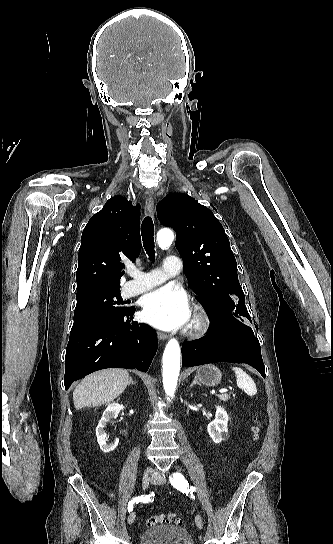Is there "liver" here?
I'll return each instance as SVG.
<instances>
[{"label":"liver","instance_id":"6515ba94","mask_svg":"<svg viewBox=\"0 0 333 544\" xmlns=\"http://www.w3.org/2000/svg\"><path fill=\"white\" fill-rule=\"evenodd\" d=\"M129 381L126 370L113 368L94 372L76 386L73 392L74 406L79 410L111 402L124 392Z\"/></svg>","mask_w":333,"mask_h":544}]
</instances>
